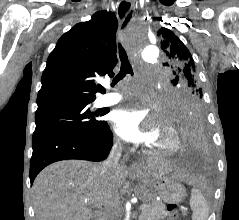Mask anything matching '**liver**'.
<instances>
[{"mask_svg":"<svg viewBox=\"0 0 239 220\" xmlns=\"http://www.w3.org/2000/svg\"><path fill=\"white\" fill-rule=\"evenodd\" d=\"M102 164L83 160L58 161L46 167L36 177L33 186V204L36 220H92L93 207L104 206L114 213L118 190L126 180L128 171L120 166L106 175ZM154 169L153 177H160ZM173 177L191 183L192 177L184 170H176Z\"/></svg>","mask_w":239,"mask_h":220,"instance_id":"obj_1","label":"liver"}]
</instances>
